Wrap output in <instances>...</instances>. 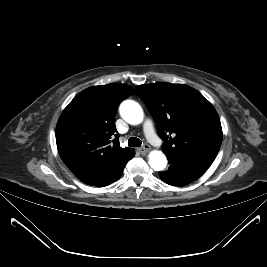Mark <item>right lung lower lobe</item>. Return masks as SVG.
<instances>
[{"instance_id":"1","label":"right lung lower lobe","mask_w":267,"mask_h":267,"mask_svg":"<svg viewBox=\"0 0 267 267\" xmlns=\"http://www.w3.org/2000/svg\"><path fill=\"white\" fill-rule=\"evenodd\" d=\"M125 165L122 168H120L119 170H117L116 172H114L111 176H109L108 178L104 179L103 181L99 182L98 184H96L94 186L104 187V186H107V185L111 184L112 182L118 180L123 173V169H124Z\"/></svg>"}]
</instances>
